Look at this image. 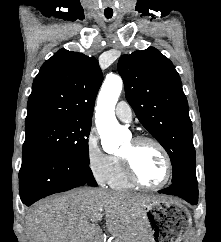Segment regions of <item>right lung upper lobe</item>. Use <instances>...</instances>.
Here are the masks:
<instances>
[{
	"label": "right lung upper lobe",
	"mask_w": 221,
	"mask_h": 242,
	"mask_svg": "<svg viewBox=\"0 0 221 242\" xmlns=\"http://www.w3.org/2000/svg\"><path fill=\"white\" fill-rule=\"evenodd\" d=\"M102 81L96 58L60 49L42 65L34 79L25 125L64 119L92 120Z\"/></svg>",
	"instance_id": "cb5924a9"
}]
</instances>
